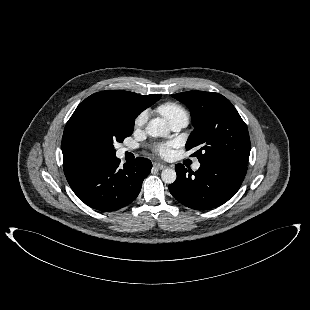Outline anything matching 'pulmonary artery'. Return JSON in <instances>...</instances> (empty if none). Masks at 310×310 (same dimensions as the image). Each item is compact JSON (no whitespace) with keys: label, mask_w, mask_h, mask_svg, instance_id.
<instances>
[{"label":"pulmonary artery","mask_w":310,"mask_h":310,"mask_svg":"<svg viewBox=\"0 0 310 310\" xmlns=\"http://www.w3.org/2000/svg\"><path fill=\"white\" fill-rule=\"evenodd\" d=\"M187 121H184V120H177V121H174L170 124L171 128L174 130V131H178L182 128H184L186 125H187ZM127 149H122L121 152H120V155H122ZM200 168V163L199 162H195L193 164V169L194 170H198Z\"/></svg>","instance_id":"1"}]
</instances>
